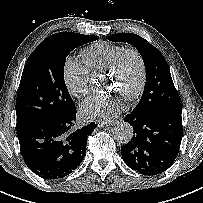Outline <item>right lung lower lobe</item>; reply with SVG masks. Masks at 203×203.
I'll list each match as a JSON object with an SVG mask.
<instances>
[{
	"label": "right lung lower lobe",
	"mask_w": 203,
	"mask_h": 203,
	"mask_svg": "<svg viewBox=\"0 0 203 203\" xmlns=\"http://www.w3.org/2000/svg\"><path fill=\"white\" fill-rule=\"evenodd\" d=\"M76 108L17 130L25 163L38 176L54 180L72 173L86 153V140L96 124L74 129Z\"/></svg>",
	"instance_id": "right-lung-lower-lobe-1"
}]
</instances>
